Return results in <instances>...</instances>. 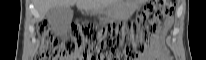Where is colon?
<instances>
[{
    "label": "colon",
    "mask_w": 206,
    "mask_h": 60,
    "mask_svg": "<svg viewBox=\"0 0 206 60\" xmlns=\"http://www.w3.org/2000/svg\"><path fill=\"white\" fill-rule=\"evenodd\" d=\"M175 1H150L136 21L98 28L90 24L72 25L69 36L60 40L46 20L38 25L40 60H95L101 55L109 60H133L146 48L152 29L173 13Z\"/></svg>",
    "instance_id": "1"
}]
</instances>
